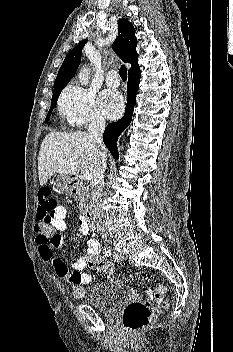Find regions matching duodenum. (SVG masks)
Segmentation results:
<instances>
[{
    "label": "duodenum",
    "mask_w": 233,
    "mask_h": 352,
    "mask_svg": "<svg viewBox=\"0 0 233 352\" xmlns=\"http://www.w3.org/2000/svg\"><path fill=\"white\" fill-rule=\"evenodd\" d=\"M73 185H76V180H73ZM84 221L90 229L96 228V223H95V218H94V210L92 208L86 209V211L84 213Z\"/></svg>",
    "instance_id": "1"
}]
</instances>
